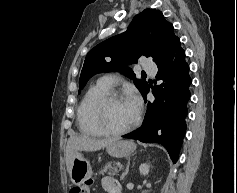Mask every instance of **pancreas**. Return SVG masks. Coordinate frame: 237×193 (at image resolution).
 <instances>
[{"instance_id": "cf45deb5", "label": "pancreas", "mask_w": 237, "mask_h": 193, "mask_svg": "<svg viewBox=\"0 0 237 193\" xmlns=\"http://www.w3.org/2000/svg\"><path fill=\"white\" fill-rule=\"evenodd\" d=\"M122 167V164L120 162H109L107 163L104 168L100 171L102 175L105 173H108L109 175H117L118 169Z\"/></svg>"}]
</instances>
